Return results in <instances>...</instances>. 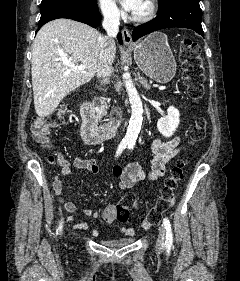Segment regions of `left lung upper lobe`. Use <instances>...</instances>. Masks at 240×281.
Instances as JSON below:
<instances>
[{
  "instance_id": "1",
  "label": "left lung upper lobe",
  "mask_w": 240,
  "mask_h": 281,
  "mask_svg": "<svg viewBox=\"0 0 240 281\" xmlns=\"http://www.w3.org/2000/svg\"><path fill=\"white\" fill-rule=\"evenodd\" d=\"M165 0H158V5H160L161 3H163Z\"/></svg>"
}]
</instances>
